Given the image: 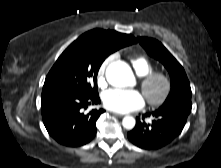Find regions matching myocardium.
<instances>
[{"label":"myocardium","instance_id":"1","mask_svg":"<svg viewBox=\"0 0 221 168\" xmlns=\"http://www.w3.org/2000/svg\"><path fill=\"white\" fill-rule=\"evenodd\" d=\"M155 82H160L162 84V90L157 97H151L148 92ZM140 85L148 104L152 107L163 105L169 98L172 90L171 78L163 71H152L143 76Z\"/></svg>","mask_w":221,"mask_h":168}]
</instances>
